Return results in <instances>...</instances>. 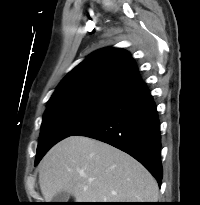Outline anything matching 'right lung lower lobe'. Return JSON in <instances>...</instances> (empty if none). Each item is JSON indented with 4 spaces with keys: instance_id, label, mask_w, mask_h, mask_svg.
Masks as SVG:
<instances>
[{
    "instance_id": "obj_1",
    "label": "right lung lower lobe",
    "mask_w": 200,
    "mask_h": 205,
    "mask_svg": "<svg viewBox=\"0 0 200 205\" xmlns=\"http://www.w3.org/2000/svg\"><path fill=\"white\" fill-rule=\"evenodd\" d=\"M73 135L98 139L127 152L161 184L160 124L144 82L125 91L102 115Z\"/></svg>"
}]
</instances>
